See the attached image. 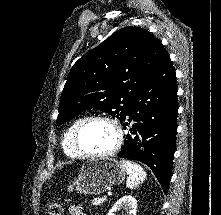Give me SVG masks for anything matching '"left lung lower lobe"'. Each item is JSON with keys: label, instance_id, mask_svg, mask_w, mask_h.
<instances>
[{"label": "left lung lower lobe", "instance_id": "0a47b994", "mask_svg": "<svg viewBox=\"0 0 221 215\" xmlns=\"http://www.w3.org/2000/svg\"><path fill=\"white\" fill-rule=\"evenodd\" d=\"M177 112L176 77L168 56L132 99L126 116L135 124L117 155L149 166L165 193L169 187L176 146ZM123 122L124 127L128 125L125 119Z\"/></svg>", "mask_w": 221, "mask_h": 215}]
</instances>
